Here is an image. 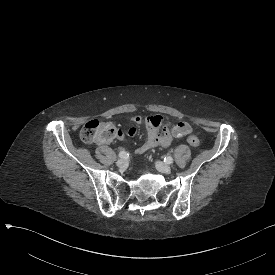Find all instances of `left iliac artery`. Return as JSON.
Instances as JSON below:
<instances>
[{
	"label": "left iliac artery",
	"mask_w": 275,
	"mask_h": 275,
	"mask_svg": "<svg viewBox=\"0 0 275 275\" xmlns=\"http://www.w3.org/2000/svg\"><path fill=\"white\" fill-rule=\"evenodd\" d=\"M164 162H166L167 164H171L173 163V158L171 156H167L165 157Z\"/></svg>",
	"instance_id": "1"
}]
</instances>
